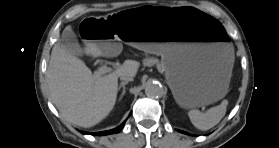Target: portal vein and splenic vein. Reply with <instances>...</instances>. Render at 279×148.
Here are the masks:
<instances>
[{
	"mask_svg": "<svg viewBox=\"0 0 279 148\" xmlns=\"http://www.w3.org/2000/svg\"><path fill=\"white\" fill-rule=\"evenodd\" d=\"M112 70L113 69L108 67L107 65H102L99 67L98 72H99V74H106V73L111 72ZM201 111H205V107H202Z\"/></svg>",
	"mask_w": 279,
	"mask_h": 148,
	"instance_id": "portal-vein-and-splenic-vein-1",
	"label": "portal vein and splenic vein"
}]
</instances>
